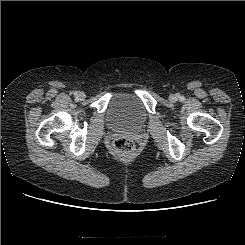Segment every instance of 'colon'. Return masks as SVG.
I'll return each instance as SVG.
<instances>
[{"mask_svg": "<svg viewBox=\"0 0 245 245\" xmlns=\"http://www.w3.org/2000/svg\"><path fill=\"white\" fill-rule=\"evenodd\" d=\"M114 148L122 154L131 153L134 150V142L130 138L121 137L114 141Z\"/></svg>", "mask_w": 245, "mask_h": 245, "instance_id": "colon-1", "label": "colon"}]
</instances>
